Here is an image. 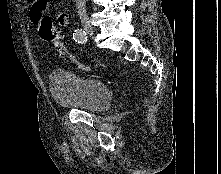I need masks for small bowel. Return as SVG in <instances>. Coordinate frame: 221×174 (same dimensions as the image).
<instances>
[{
  "instance_id": "c3829d8e",
  "label": "small bowel",
  "mask_w": 221,
  "mask_h": 174,
  "mask_svg": "<svg viewBox=\"0 0 221 174\" xmlns=\"http://www.w3.org/2000/svg\"><path fill=\"white\" fill-rule=\"evenodd\" d=\"M28 2L30 19L38 27L42 18L45 17V12L50 9L51 3L49 0H28ZM56 20L59 27H65L69 24V16L65 11L57 10Z\"/></svg>"
}]
</instances>
